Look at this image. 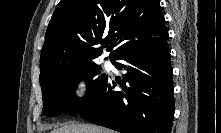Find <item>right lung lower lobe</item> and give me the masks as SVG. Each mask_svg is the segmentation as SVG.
Here are the masks:
<instances>
[{"label":"right lung lower lobe","instance_id":"1","mask_svg":"<svg viewBox=\"0 0 221 133\" xmlns=\"http://www.w3.org/2000/svg\"><path fill=\"white\" fill-rule=\"evenodd\" d=\"M113 62L126 71L123 91L108 77L77 115L122 133H170L174 116L172 66L168 36L153 45L124 51ZM118 82V81H117Z\"/></svg>","mask_w":221,"mask_h":133}]
</instances>
